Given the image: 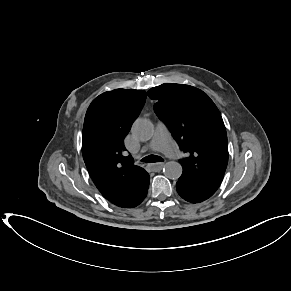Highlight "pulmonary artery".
Returning <instances> with one entry per match:
<instances>
[{
  "mask_svg": "<svg viewBox=\"0 0 291 291\" xmlns=\"http://www.w3.org/2000/svg\"><path fill=\"white\" fill-rule=\"evenodd\" d=\"M150 147L152 150L161 151L171 158H176L180 154L167 127L162 122H158L156 125L154 136L150 142Z\"/></svg>",
  "mask_w": 291,
  "mask_h": 291,
  "instance_id": "1",
  "label": "pulmonary artery"
}]
</instances>
